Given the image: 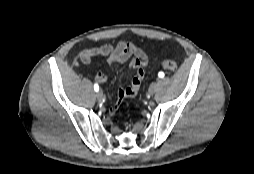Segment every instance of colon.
<instances>
[{
    "label": "colon",
    "instance_id": "colon-1",
    "mask_svg": "<svg viewBox=\"0 0 254 174\" xmlns=\"http://www.w3.org/2000/svg\"><path fill=\"white\" fill-rule=\"evenodd\" d=\"M161 65L165 70L170 72H174L177 70V64L173 60H164L162 61Z\"/></svg>",
    "mask_w": 254,
    "mask_h": 174
}]
</instances>
